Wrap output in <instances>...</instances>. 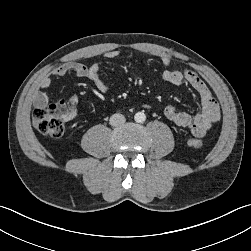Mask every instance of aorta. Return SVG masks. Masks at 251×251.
Masks as SVG:
<instances>
[{"instance_id": "obj_1", "label": "aorta", "mask_w": 251, "mask_h": 251, "mask_svg": "<svg viewBox=\"0 0 251 251\" xmlns=\"http://www.w3.org/2000/svg\"><path fill=\"white\" fill-rule=\"evenodd\" d=\"M137 123H143L146 120V115L143 112H137L134 116Z\"/></svg>"}]
</instances>
